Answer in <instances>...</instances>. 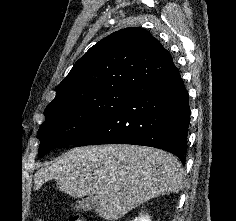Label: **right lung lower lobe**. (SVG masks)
<instances>
[{
  "instance_id": "1",
  "label": "right lung lower lobe",
  "mask_w": 236,
  "mask_h": 221,
  "mask_svg": "<svg viewBox=\"0 0 236 221\" xmlns=\"http://www.w3.org/2000/svg\"><path fill=\"white\" fill-rule=\"evenodd\" d=\"M188 92L174 65L141 87L74 146H151L185 161L190 121Z\"/></svg>"
}]
</instances>
